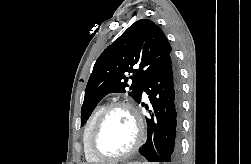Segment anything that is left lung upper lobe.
I'll use <instances>...</instances> for the list:
<instances>
[{
	"mask_svg": "<svg viewBox=\"0 0 251 164\" xmlns=\"http://www.w3.org/2000/svg\"><path fill=\"white\" fill-rule=\"evenodd\" d=\"M170 56L171 46L154 22L141 19L132 24L97 59L86 86L81 123L102 97L113 92L125 93L129 79V95L139 103L145 81Z\"/></svg>",
	"mask_w": 251,
	"mask_h": 164,
	"instance_id": "left-lung-upper-lobe-1",
	"label": "left lung upper lobe"
}]
</instances>
